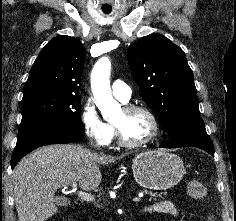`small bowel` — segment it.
<instances>
[{
	"label": "small bowel",
	"instance_id": "obj_1",
	"mask_svg": "<svg viewBox=\"0 0 236 221\" xmlns=\"http://www.w3.org/2000/svg\"><path fill=\"white\" fill-rule=\"evenodd\" d=\"M145 212L148 214H166L175 219L178 217L177 209L173 203L168 200L159 201L146 207Z\"/></svg>",
	"mask_w": 236,
	"mask_h": 221
}]
</instances>
